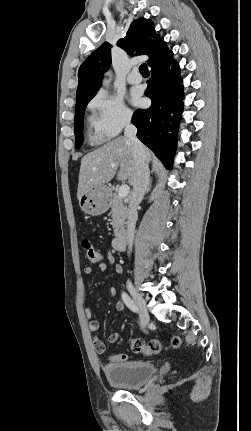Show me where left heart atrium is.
<instances>
[{
    "mask_svg": "<svg viewBox=\"0 0 251 431\" xmlns=\"http://www.w3.org/2000/svg\"><path fill=\"white\" fill-rule=\"evenodd\" d=\"M132 100H133V102H134V103H136V104L141 103V99H140V97H139V95H138V94H134V95H133V97H132Z\"/></svg>",
    "mask_w": 251,
    "mask_h": 431,
    "instance_id": "obj_1",
    "label": "left heart atrium"
}]
</instances>
